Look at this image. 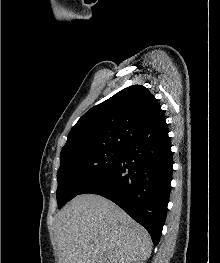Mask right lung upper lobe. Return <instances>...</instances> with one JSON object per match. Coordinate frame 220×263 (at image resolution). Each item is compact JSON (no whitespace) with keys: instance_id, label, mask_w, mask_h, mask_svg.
Wrapping results in <instances>:
<instances>
[{"instance_id":"right-lung-upper-lobe-1","label":"right lung upper lobe","mask_w":220,"mask_h":263,"mask_svg":"<svg viewBox=\"0 0 220 263\" xmlns=\"http://www.w3.org/2000/svg\"><path fill=\"white\" fill-rule=\"evenodd\" d=\"M168 132L159 103L142 85L127 87L88 110L73 126L61 155L95 148L124 149Z\"/></svg>"}]
</instances>
